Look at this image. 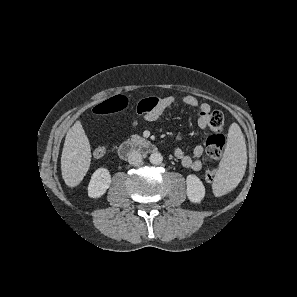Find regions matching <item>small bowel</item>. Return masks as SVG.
I'll return each instance as SVG.
<instances>
[{
	"label": "small bowel",
	"instance_id": "small-bowel-1",
	"mask_svg": "<svg viewBox=\"0 0 297 297\" xmlns=\"http://www.w3.org/2000/svg\"><path fill=\"white\" fill-rule=\"evenodd\" d=\"M151 100H156V103L144 114L146 121H155L167 113L168 110L178 105L179 103L197 108L198 117L197 123L201 129H205L208 126V117L211 113V108L207 103L200 102L194 96H185L182 99H177L172 96L158 98L152 97ZM204 153V148L201 145L196 146L193 149L192 155L186 154L181 148H177L174 151L175 157L181 162L182 166L193 171H199L202 168L201 157Z\"/></svg>",
	"mask_w": 297,
	"mask_h": 297
}]
</instances>
